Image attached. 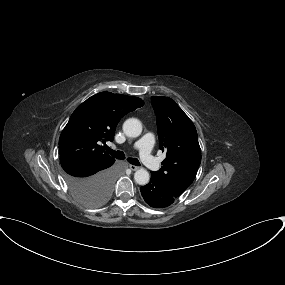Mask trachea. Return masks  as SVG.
<instances>
[{"instance_id":"3493384b","label":"trachea","mask_w":285,"mask_h":285,"mask_svg":"<svg viewBox=\"0 0 285 285\" xmlns=\"http://www.w3.org/2000/svg\"><path fill=\"white\" fill-rule=\"evenodd\" d=\"M105 150H107L110 155L116 159H125V155L122 151H115V150H112L111 148H109L108 146H105L104 147ZM127 161L129 163H131L132 165H135V166H140V162L137 158H128Z\"/></svg>"}]
</instances>
